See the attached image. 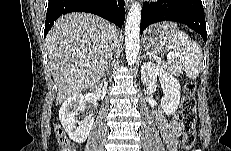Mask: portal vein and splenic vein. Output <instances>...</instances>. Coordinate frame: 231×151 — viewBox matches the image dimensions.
I'll return each instance as SVG.
<instances>
[{"instance_id":"18ae733b","label":"portal vein and splenic vein","mask_w":231,"mask_h":151,"mask_svg":"<svg viewBox=\"0 0 231 151\" xmlns=\"http://www.w3.org/2000/svg\"><path fill=\"white\" fill-rule=\"evenodd\" d=\"M178 56V54L177 53H170L169 55H168V57H167V59L169 60V61H172L174 58H176Z\"/></svg>"}]
</instances>
